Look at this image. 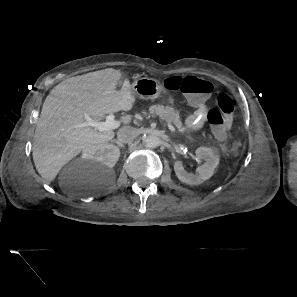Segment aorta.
Returning <instances> with one entry per match:
<instances>
[{"label":"aorta","instance_id":"1","mask_svg":"<svg viewBox=\"0 0 297 297\" xmlns=\"http://www.w3.org/2000/svg\"><path fill=\"white\" fill-rule=\"evenodd\" d=\"M144 145L147 148H156L160 145V139L155 135H149L144 139Z\"/></svg>","mask_w":297,"mask_h":297}]
</instances>
